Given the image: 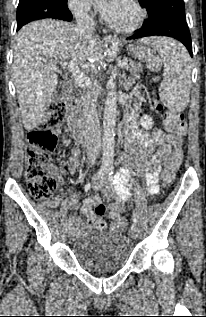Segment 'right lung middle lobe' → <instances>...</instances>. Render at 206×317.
I'll use <instances>...</instances> for the list:
<instances>
[{
  "label": "right lung middle lobe",
  "mask_w": 206,
  "mask_h": 317,
  "mask_svg": "<svg viewBox=\"0 0 206 317\" xmlns=\"http://www.w3.org/2000/svg\"><path fill=\"white\" fill-rule=\"evenodd\" d=\"M68 11L67 0H19L17 27L38 19H57L59 13Z\"/></svg>",
  "instance_id": "dd1d6c3e"
}]
</instances>
